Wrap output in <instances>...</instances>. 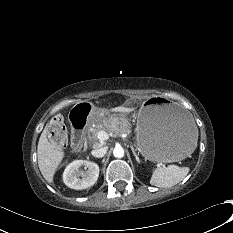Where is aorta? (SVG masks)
Listing matches in <instances>:
<instances>
[{
  "mask_svg": "<svg viewBox=\"0 0 233 233\" xmlns=\"http://www.w3.org/2000/svg\"><path fill=\"white\" fill-rule=\"evenodd\" d=\"M113 155L116 158H122L124 156V149L121 146H116L113 150Z\"/></svg>",
  "mask_w": 233,
  "mask_h": 233,
  "instance_id": "1",
  "label": "aorta"
}]
</instances>
